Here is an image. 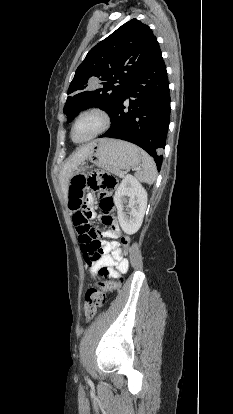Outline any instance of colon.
I'll list each match as a JSON object with an SVG mask.
<instances>
[{
  "label": "colon",
  "instance_id": "obj_1",
  "mask_svg": "<svg viewBox=\"0 0 233 414\" xmlns=\"http://www.w3.org/2000/svg\"><path fill=\"white\" fill-rule=\"evenodd\" d=\"M89 187L100 193V207L103 212L104 220L113 209L112 191L117 185V180L109 173L97 170L88 179ZM91 211L87 207L74 214L73 220L79 233L81 249L84 252V259L88 265H91L104 254L103 243L99 239L97 230L91 228L89 219ZM130 244V237L125 235L121 238V248L116 253L120 258L126 257V252ZM117 286L110 277L107 268L102 267L96 271L95 283L90 285L86 291L84 316L87 321L93 319L98 311L107 301L108 295Z\"/></svg>",
  "mask_w": 233,
  "mask_h": 414
}]
</instances>
